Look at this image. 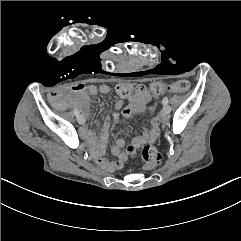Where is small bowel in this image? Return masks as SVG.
<instances>
[{"label":"small bowel","mask_w":241,"mask_h":241,"mask_svg":"<svg viewBox=\"0 0 241 241\" xmlns=\"http://www.w3.org/2000/svg\"><path fill=\"white\" fill-rule=\"evenodd\" d=\"M108 86L107 84L98 86L75 84L68 87L62 93L57 89L52 92L50 91L47 93L46 97L51 101L61 95L62 100L66 102L69 99L68 93L75 94L77 96L75 99V107L83 114H86L89 107L88 96H95L98 94L106 95L110 93ZM152 97H159V95L150 94L145 85L138 84L134 87L133 94L127 98L129 101L128 104H124L122 101L116 104V107L121 110L125 119H129L133 113H146L150 117L149 128L143 127L142 134L134 137L127 147H125V141L123 139H118L115 142L111 152L123 162L127 161L128 157L134 154L142 145L154 143L160 135V119L156 115L157 108L156 105L152 103ZM109 129L110 120L105 118L98 139L95 137L94 133L88 129H83L81 131L82 136L88 139L94 146L96 162L103 168H110V162L106 158L101 157L109 139Z\"/></svg>","instance_id":"1"}]
</instances>
